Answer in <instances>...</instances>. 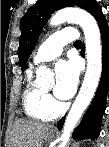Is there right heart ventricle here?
Wrapping results in <instances>:
<instances>
[{
  "mask_svg": "<svg viewBox=\"0 0 109 147\" xmlns=\"http://www.w3.org/2000/svg\"><path fill=\"white\" fill-rule=\"evenodd\" d=\"M46 95L33 81V68L31 67L25 78L23 90V107L26 114L39 121L50 119L56 112L46 104Z\"/></svg>",
  "mask_w": 109,
  "mask_h": 147,
  "instance_id": "right-heart-ventricle-1",
  "label": "right heart ventricle"
}]
</instances>
